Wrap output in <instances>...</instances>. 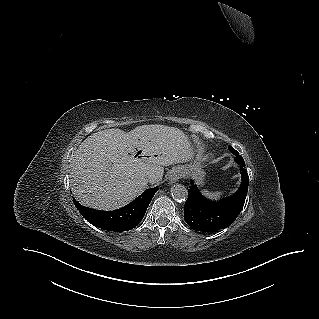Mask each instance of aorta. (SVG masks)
<instances>
[{"label":"aorta","mask_w":319,"mask_h":319,"mask_svg":"<svg viewBox=\"0 0 319 319\" xmlns=\"http://www.w3.org/2000/svg\"><path fill=\"white\" fill-rule=\"evenodd\" d=\"M171 195L174 200L178 202H182V201H185L186 198L188 197V192L185 186L181 184H175L171 188Z\"/></svg>","instance_id":"1"}]
</instances>
